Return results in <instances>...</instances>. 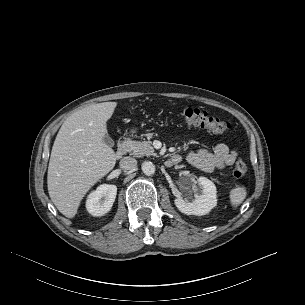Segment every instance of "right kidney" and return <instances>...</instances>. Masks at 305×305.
Listing matches in <instances>:
<instances>
[{"mask_svg":"<svg viewBox=\"0 0 305 305\" xmlns=\"http://www.w3.org/2000/svg\"><path fill=\"white\" fill-rule=\"evenodd\" d=\"M117 187L103 184L91 192L86 200L87 211L93 216H102L110 211L115 201Z\"/></svg>","mask_w":305,"mask_h":305,"instance_id":"1","label":"right kidney"}]
</instances>
